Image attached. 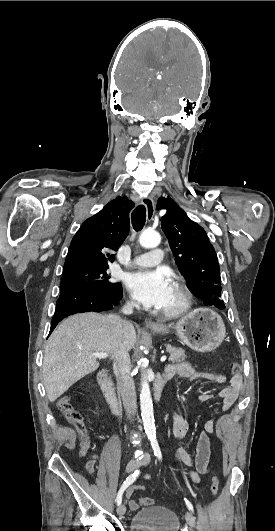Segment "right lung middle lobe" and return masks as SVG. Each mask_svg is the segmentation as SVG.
I'll use <instances>...</instances> for the list:
<instances>
[{
    "instance_id": "obj_1",
    "label": "right lung middle lobe",
    "mask_w": 275,
    "mask_h": 531,
    "mask_svg": "<svg viewBox=\"0 0 275 531\" xmlns=\"http://www.w3.org/2000/svg\"><path fill=\"white\" fill-rule=\"evenodd\" d=\"M108 268V266H83L64 271L60 286L62 288L80 285L91 287L99 293L113 292L121 285L109 281Z\"/></svg>"
}]
</instances>
